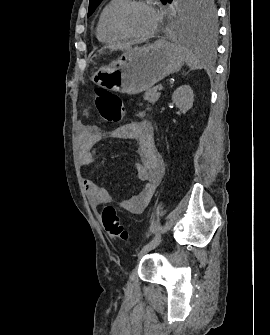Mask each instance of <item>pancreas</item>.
Returning <instances> with one entry per match:
<instances>
[{
	"instance_id": "obj_1",
	"label": "pancreas",
	"mask_w": 270,
	"mask_h": 335,
	"mask_svg": "<svg viewBox=\"0 0 270 335\" xmlns=\"http://www.w3.org/2000/svg\"><path fill=\"white\" fill-rule=\"evenodd\" d=\"M158 87L159 86H155V88H151V90H146L144 94V100H147V102H150V104H155V102H157V100L160 98Z\"/></svg>"
}]
</instances>
